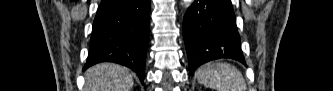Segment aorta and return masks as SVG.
Returning a JSON list of instances; mask_svg holds the SVG:
<instances>
[{"label": "aorta", "mask_w": 333, "mask_h": 91, "mask_svg": "<svg viewBox=\"0 0 333 91\" xmlns=\"http://www.w3.org/2000/svg\"><path fill=\"white\" fill-rule=\"evenodd\" d=\"M184 2H185L187 5H189V4H191L193 1H192V0H184Z\"/></svg>", "instance_id": "obj_1"}]
</instances>
